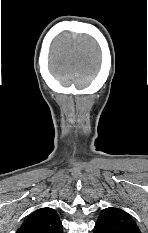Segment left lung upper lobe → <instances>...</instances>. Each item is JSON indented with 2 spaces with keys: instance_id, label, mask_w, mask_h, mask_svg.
<instances>
[{
  "instance_id": "obj_1",
  "label": "left lung upper lobe",
  "mask_w": 148,
  "mask_h": 233,
  "mask_svg": "<svg viewBox=\"0 0 148 233\" xmlns=\"http://www.w3.org/2000/svg\"><path fill=\"white\" fill-rule=\"evenodd\" d=\"M94 233H141L138 226L125 211L109 207L104 209L94 227Z\"/></svg>"
}]
</instances>
